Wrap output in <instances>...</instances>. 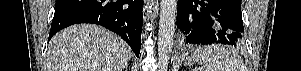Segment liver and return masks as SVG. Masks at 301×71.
I'll return each mask as SVG.
<instances>
[{
  "label": "liver",
  "mask_w": 301,
  "mask_h": 71,
  "mask_svg": "<svg viewBox=\"0 0 301 71\" xmlns=\"http://www.w3.org/2000/svg\"><path fill=\"white\" fill-rule=\"evenodd\" d=\"M131 48L119 36L91 24L70 26L50 40L46 71H123Z\"/></svg>",
  "instance_id": "6515ba94"
}]
</instances>
